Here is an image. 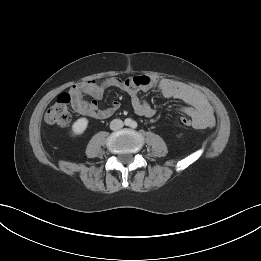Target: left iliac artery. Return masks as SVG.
I'll return each instance as SVG.
<instances>
[{"label":"left iliac artery","mask_w":261,"mask_h":261,"mask_svg":"<svg viewBox=\"0 0 261 261\" xmlns=\"http://www.w3.org/2000/svg\"><path fill=\"white\" fill-rule=\"evenodd\" d=\"M131 127H132V128H136V127H137V123H136L135 121H133V122L131 123Z\"/></svg>","instance_id":"1"}]
</instances>
